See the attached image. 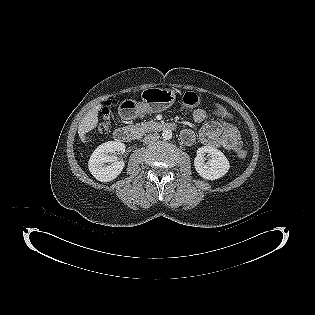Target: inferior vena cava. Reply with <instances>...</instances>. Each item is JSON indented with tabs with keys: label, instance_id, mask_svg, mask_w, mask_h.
I'll use <instances>...</instances> for the list:
<instances>
[{
	"label": "inferior vena cava",
	"instance_id": "obj_1",
	"mask_svg": "<svg viewBox=\"0 0 315 315\" xmlns=\"http://www.w3.org/2000/svg\"><path fill=\"white\" fill-rule=\"evenodd\" d=\"M159 138H160V135L158 133H150L144 137L143 142L146 144H149L154 141H157Z\"/></svg>",
	"mask_w": 315,
	"mask_h": 315
}]
</instances>
